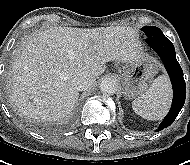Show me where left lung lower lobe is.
<instances>
[{
	"label": "left lung lower lobe",
	"mask_w": 190,
	"mask_h": 165,
	"mask_svg": "<svg viewBox=\"0 0 190 165\" xmlns=\"http://www.w3.org/2000/svg\"><path fill=\"white\" fill-rule=\"evenodd\" d=\"M146 42L162 59L173 87L172 107L157 130L160 131L171 125L182 109L185 102L186 85L183 78V71L176 60L175 49L171 41L165 36H157L147 39Z\"/></svg>",
	"instance_id": "1"
}]
</instances>
